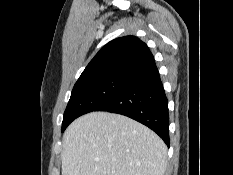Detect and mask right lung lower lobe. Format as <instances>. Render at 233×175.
<instances>
[{
  "instance_id": "98d812e1",
  "label": "right lung lower lobe",
  "mask_w": 233,
  "mask_h": 175,
  "mask_svg": "<svg viewBox=\"0 0 233 175\" xmlns=\"http://www.w3.org/2000/svg\"><path fill=\"white\" fill-rule=\"evenodd\" d=\"M95 111L128 116L155 131L170 145L168 100L156 66L134 77Z\"/></svg>"
}]
</instances>
